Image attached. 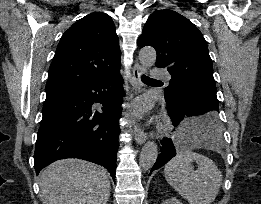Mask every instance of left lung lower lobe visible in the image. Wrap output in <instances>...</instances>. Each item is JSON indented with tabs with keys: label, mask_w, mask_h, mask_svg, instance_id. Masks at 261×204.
I'll use <instances>...</instances> for the list:
<instances>
[{
	"label": "left lung lower lobe",
	"mask_w": 261,
	"mask_h": 204,
	"mask_svg": "<svg viewBox=\"0 0 261 204\" xmlns=\"http://www.w3.org/2000/svg\"><path fill=\"white\" fill-rule=\"evenodd\" d=\"M166 104L168 114L175 127L187 117L205 114L203 116L205 119L200 122L196 132L198 135L210 139L217 140L220 138V126L217 119L219 107L208 98L195 92L185 91L174 100H166ZM161 144V152L151 172L162 167L176 155L177 149L171 139L164 138Z\"/></svg>",
	"instance_id": "0a47b994"
}]
</instances>
